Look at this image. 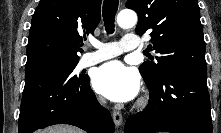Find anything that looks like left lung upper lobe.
<instances>
[{"instance_id":"5c2ea615","label":"left lung upper lobe","mask_w":221,"mask_h":133,"mask_svg":"<svg viewBox=\"0 0 221 133\" xmlns=\"http://www.w3.org/2000/svg\"><path fill=\"white\" fill-rule=\"evenodd\" d=\"M138 14L136 33L150 32L149 48L160 53L156 62L139 67L145 82L154 83L172 68L206 70L205 42L196 0H128Z\"/></svg>"}]
</instances>
